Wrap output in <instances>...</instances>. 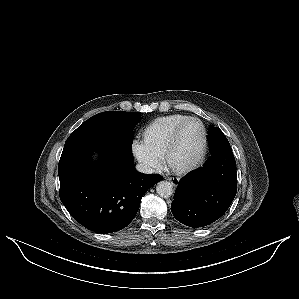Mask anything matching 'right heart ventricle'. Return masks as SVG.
<instances>
[{
    "label": "right heart ventricle",
    "mask_w": 299,
    "mask_h": 299,
    "mask_svg": "<svg viewBox=\"0 0 299 299\" xmlns=\"http://www.w3.org/2000/svg\"><path fill=\"white\" fill-rule=\"evenodd\" d=\"M188 118L189 116L183 114H171L154 120L143 133L144 145L152 154L163 156L172 132Z\"/></svg>",
    "instance_id": "e07e8e85"
}]
</instances>
